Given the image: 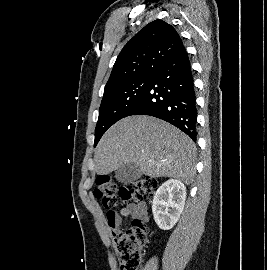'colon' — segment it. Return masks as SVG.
<instances>
[{
    "label": "colon",
    "mask_w": 267,
    "mask_h": 270,
    "mask_svg": "<svg viewBox=\"0 0 267 270\" xmlns=\"http://www.w3.org/2000/svg\"><path fill=\"white\" fill-rule=\"evenodd\" d=\"M158 181L151 177L117 186L106 176L95 180L94 195L99 199L109 214L116 213L119 203L141 202L153 198ZM121 270H140L146 251L147 237L143 223L134 220L132 227L118 231L114 235Z\"/></svg>",
    "instance_id": "colon-1"
}]
</instances>
